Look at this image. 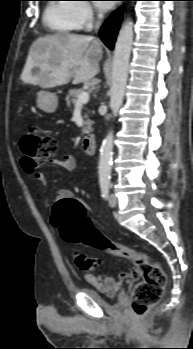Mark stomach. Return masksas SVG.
Masks as SVG:
<instances>
[{
  "label": "stomach",
  "mask_w": 193,
  "mask_h": 349,
  "mask_svg": "<svg viewBox=\"0 0 193 349\" xmlns=\"http://www.w3.org/2000/svg\"><path fill=\"white\" fill-rule=\"evenodd\" d=\"M37 104L42 111L53 113L58 106V97L55 93L41 90L37 93Z\"/></svg>",
  "instance_id": "1"
}]
</instances>
